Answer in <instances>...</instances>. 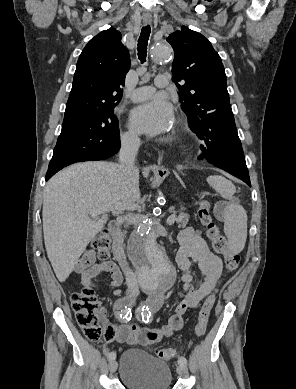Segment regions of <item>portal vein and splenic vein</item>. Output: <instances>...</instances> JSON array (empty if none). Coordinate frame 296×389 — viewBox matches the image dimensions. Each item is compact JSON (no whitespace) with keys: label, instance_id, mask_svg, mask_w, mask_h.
<instances>
[{"label":"portal vein and splenic vein","instance_id":"1","mask_svg":"<svg viewBox=\"0 0 296 389\" xmlns=\"http://www.w3.org/2000/svg\"><path fill=\"white\" fill-rule=\"evenodd\" d=\"M134 210V209H139V206L138 204H135L133 202H119V203H116L114 204L113 206H109V207H106V208H103L101 210H94L93 211V214H100L102 212H109V211H120V210ZM176 220V215L175 214H172L171 216H169V218L167 219V224L168 225H172Z\"/></svg>","mask_w":296,"mask_h":389}]
</instances>
